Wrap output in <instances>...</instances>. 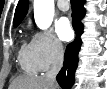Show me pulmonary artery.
Wrapping results in <instances>:
<instances>
[{
  "instance_id": "1",
  "label": "pulmonary artery",
  "mask_w": 107,
  "mask_h": 89,
  "mask_svg": "<svg viewBox=\"0 0 107 89\" xmlns=\"http://www.w3.org/2000/svg\"><path fill=\"white\" fill-rule=\"evenodd\" d=\"M57 6L62 11H67L69 9V4L67 0H58Z\"/></svg>"
}]
</instances>
